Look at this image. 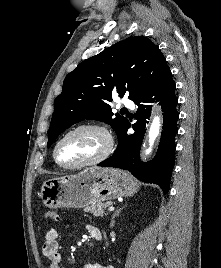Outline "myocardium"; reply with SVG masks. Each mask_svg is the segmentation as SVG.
<instances>
[{
  "mask_svg": "<svg viewBox=\"0 0 221 268\" xmlns=\"http://www.w3.org/2000/svg\"><path fill=\"white\" fill-rule=\"evenodd\" d=\"M85 129L96 130L103 134V136L106 139V146L104 150L98 156L86 162H83L77 165L63 164L58 158V149L61 143L71 134L80 130H85ZM113 150H114V139L110 131L105 126L96 124V123H85V124H80L78 126L73 127L72 129L68 130L65 134H63L59 138V140L56 142L54 149H53V158L60 167L64 169L75 170V169H81V168H85V167L96 165V164L103 162L104 160H106L108 157L111 156V154L113 153Z\"/></svg>",
  "mask_w": 221,
  "mask_h": 268,
  "instance_id": "obj_1",
  "label": "myocardium"
}]
</instances>
